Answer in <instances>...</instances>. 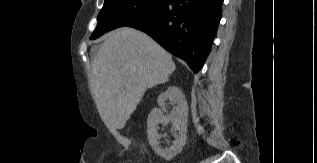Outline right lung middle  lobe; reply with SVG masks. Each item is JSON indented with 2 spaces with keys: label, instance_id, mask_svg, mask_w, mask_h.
Instances as JSON below:
<instances>
[{
  "label": "right lung middle lobe",
  "instance_id": "dd1d6c3e",
  "mask_svg": "<svg viewBox=\"0 0 317 163\" xmlns=\"http://www.w3.org/2000/svg\"><path fill=\"white\" fill-rule=\"evenodd\" d=\"M168 0H104L98 24L90 39L94 40L113 29L147 16Z\"/></svg>",
  "mask_w": 317,
  "mask_h": 163
}]
</instances>
